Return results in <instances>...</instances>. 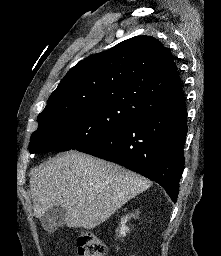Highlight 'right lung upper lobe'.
I'll return each mask as SVG.
<instances>
[{"mask_svg": "<svg viewBox=\"0 0 221 256\" xmlns=\"http://www.w3.org/2000/svg\"><path fill=\"white\" fill-rule=\"evenodd\" d=\"M185 102L176 64L160 41L136 36L78 62L40 114L113 104L144 114Z\"/></svg>", "mask_w": 221, "mask_h": 256, "instance_id": "cb5924a9", "label": "right lung upper lobe"}]
</instances>
